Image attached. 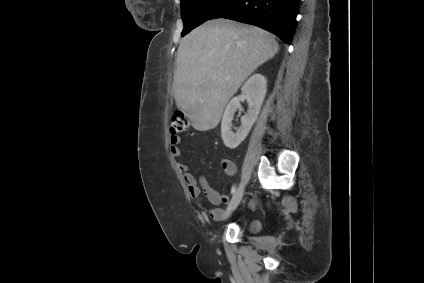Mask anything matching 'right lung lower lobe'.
<instances>
[{
	"mask_svg": "<svg viewBox=\"0 0 424 283\" xmlns=\"http://www.w3.org/2000/svg\"><path fill=\"white\" fill-rule=\"evenodd\" d=\"M299 0H228L209 20L226 18L252 24L290 44Z\"/></svg>",
	"mask_w": 424,
	"mask_h": 283,
	"instance_id": "obj_1",
	"label": "right lung lower lobe"
}]
</instances>
